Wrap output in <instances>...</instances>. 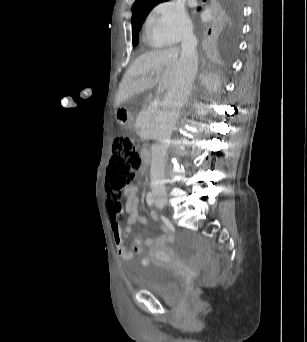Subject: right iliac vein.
Segmentation results:
<instances>
[{"mask_svg": "<svg viewBox=\"0 0 307 342\" xmlns=\"http://www.w3.org/2000/svg\"><path fill=\"white\" fill-rule=\"evenodd\" d=\"M158 200V202L160 203V204H162V205H166L167 204V200L165 199V198H159V199H157Z\"/></svg>", "mask_w": 307, "mask_h": 342, "instance_id": "1", "label": "right iliac vein"}]
</instances>
